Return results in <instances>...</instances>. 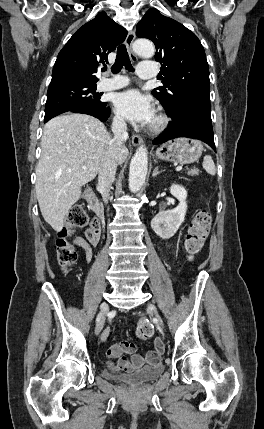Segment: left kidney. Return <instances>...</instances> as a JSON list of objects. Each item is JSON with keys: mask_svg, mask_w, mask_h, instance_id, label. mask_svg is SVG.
Masks as SVG:
<instances>
[{"mask_svg": "<svg viewBox=\"0 0 264 429\" xmlns=\"http://www.w3.org/2000/svg\"><path fill=\"white\" fill-rule=\"evenodd\" d=\"M171 194L179 200V205L172 209L159 212L151 221L154 232L162 239H169L177 232L184 222L187 211V191L178 184H172Z\"/></svg>", "mask_w": 264, "mask_h": 429, "instance_id": "1", "label": "left kidney"}]
</instances>
